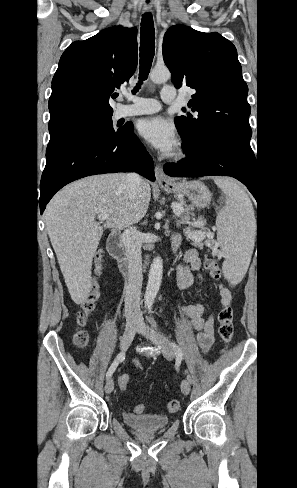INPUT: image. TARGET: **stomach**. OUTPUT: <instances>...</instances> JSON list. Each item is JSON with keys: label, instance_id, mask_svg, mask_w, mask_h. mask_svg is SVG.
I'll return each instance as SVG.
<instances>
[{"label": "stomach", "instance_id": "0dacf381", "mask_svg": "<svg viewBox=\"0 0 297 488\" xmlns=\"http://www.w3.org/2000/svg\"><path fill=\"white\" fill-rule=\"evenodd\" d=\"M162 188L177 198H187L197 208H204L211 202V192L208 187L199 180L170 182L163 184Z\"/></svg>", "mask_w": 297, "mask_h": 488}]
</instances>
